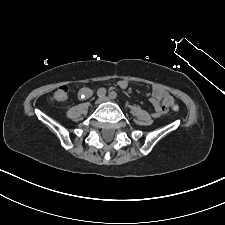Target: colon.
<instances>
[{
  "label": "colon",
  "instance_id": "obj_1",
  "mask_svg": "<svg viewBox=\"0 0 225 225\" xmlns=\"http://www.w3.org/2000/svg\"><path fill=\"white\" fill-rule=\"evenodd\" d=\"M68 98V87L66 85L58 86L55 91L50 96V100L55 103H64ZM172 110L174 112H178L180 110L179 105L175 104L172 106ZM162 113L166 112L165 109L161 110Z\"/></svg>",
  "mask_w": 225,
  "mask_h": 225
}]
</instances>
